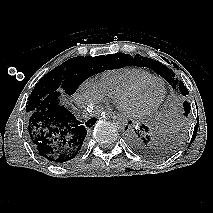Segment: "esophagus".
Listing matches in <instances>:
<instances>
[{
	"instance_id": "1",
	"label": "esophagus",
	"mask_w": 213,
	"mask_h": 213,
	"mask_svg": "<svg viewBox=\"0 0 213 213\" xmlns=\"http://www.w3.org/2000/svg\"><path fill=\"white\" fill-rule=\"evenodd\" d=\"M116 114V112L110 110V111H107V112H102V115L105 116V117H112Z\"/></svg>"
}]
</instances>
